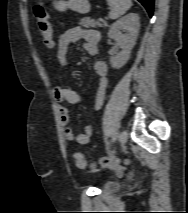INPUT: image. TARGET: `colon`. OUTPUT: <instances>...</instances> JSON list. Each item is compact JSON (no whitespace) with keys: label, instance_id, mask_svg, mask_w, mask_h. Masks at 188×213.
Returning a JSON list of instances; mask_svg holds the SVG:
<instances>
[{"label":"colon","instance_id":"5ec220e1","mask_svg":"<svg viewBox=\"0 0 188 213\" xmlns=\"http://www.w3.org/2000/svg\"><path fill=\"white\" fill-rule=\"evenodd\" d=\"M33 14L36 19L42 41L48 48H52L54 45L53 32L45 5L41 2L35 4L33 7ZM127 164V160L110 157H104L100 161V166L106 168H119L122 166H126ZM75 165L81 169L87 166V162L82 154L75 155ZM92 168H95V166H93Z\"/></svg>","mask_w":188,"mask_h":213}]
</instances>
